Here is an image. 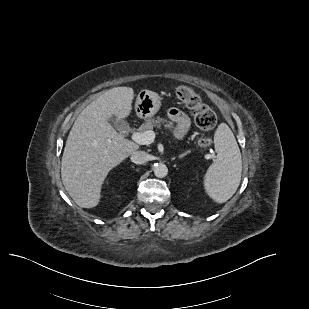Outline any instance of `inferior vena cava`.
<instances>
[{"instance_id": "602c4592", "label": "inferior vena cava", "mask_w": 309, "mask_h": 309, "mask_svg": "<svg viewBox=\"0 0 309 309\" xmlns=\"http://www.w3.org/2000/svg\"><path fill=\"white\" fill-rule=\"evenodd\" d=\"M130 158L131 161L135 164H144L145 162L149 161L150 156L145 151H134Z\"/></svg>"}]
</instances>
